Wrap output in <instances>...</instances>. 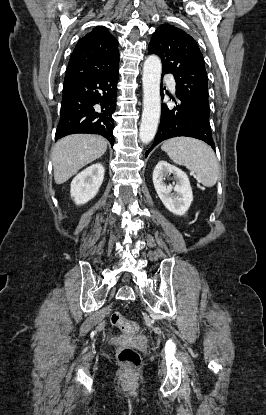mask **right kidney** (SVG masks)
Listing matches in <instances>:
<instances>
[{
    "label": "right kidney",
    "mask_w": 266,
    "mask_h": 415,
    "mask_svg": "<svg viewBox=\"0 0 266 415\" xmlns=\"http://www.w3.org/2000/svg\"><path fill=\"white\" fill-rule=\"evenodd\" d=\"M105 169L100 163L80 172L71 182L70 194L77 205L85 204L96 196L104 179Z\"/></svg>",
    "instance_id": "1"
}]
</instances>
